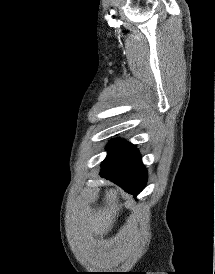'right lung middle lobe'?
Returning a JSON list of instances; mask_svg holds the SVG:
<instances>
[{
	"mask_svg": "<svg viewBox=\"0 0 215 274\" xmlns=\"http://www.w3.org/2000/svg\"><path fill=\"white\" fill-rule=\"evenodd\" d=\"M135 146L127 141L123 140H113L108 146V155L103 161L102 165L105 167H110L119 161L123 160L134 148Z\"/></svg>",
	"mask_w": 215,
	"mask_h": 274,
	"instance_id": "obj_1",
	"label": "right lung middle lobe"
}]
</instances>
